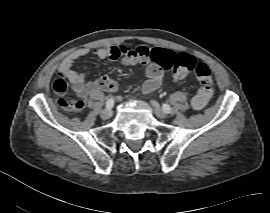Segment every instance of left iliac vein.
Instances as JSON below:
<instances>
[{
    "label": "left iliac vein",
    "instance_id": "obj_1",
    "mask_svg": "<svg viewBox=\"0 0 270 213\" xmlns=\"http://www.w3.org/2000/svg\"><path fill=\"white\" fill-rule=\"evenodd\" d=\"M151 105H152V107L155 111V114L158 118L164 119L166 117L164 111L162 110V108L160 107V105L156 101L152 100Z\"/></svg>",
    "mask_w": 270,
    "mask_h": 213
}]
</instances>
